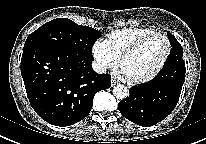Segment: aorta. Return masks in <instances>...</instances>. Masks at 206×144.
<instances>
[{"instance_id": "aorta-1", "label": "aorta", "mask_w": 206, "mask_h": 144, "mask_svg": "<svg viewBox=\"0 0 206 144\" xmlns=\"http://www.w3.org/2000/svg\"><path fill=\"white\" fill-rule=\"evenodd\" d=\"M113 95L117 99H125L128 96V89L124 85H117L113 88Z\"/></svg>"}]
</instances>
